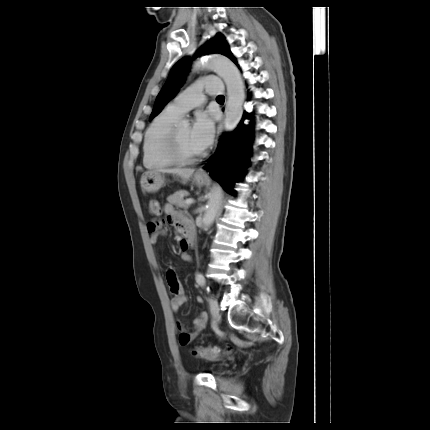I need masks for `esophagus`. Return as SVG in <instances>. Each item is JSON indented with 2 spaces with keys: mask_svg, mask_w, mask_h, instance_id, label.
I'll return each mask as SVG.
<instances>
[{
  "mask_svg": "<svg viewBox=\"0 0 430 430\" xmlns=\"http://www.w3.org/2000/svg\"><path fill=\"white\" fill-rule=\"evenodd\" d=\"M222 129H223V123H220L219 126H218V130H217V137L218 138H219V136L222 133ZM197 174L204 176V175H206V171L204 169L200 168V169L197 170Z\"/></svg>",
  "mask_w": 430,
  "mask_h": 430,
  "instance_id": "obj_1",
  "label": "esophagus"
}]
</instances>
